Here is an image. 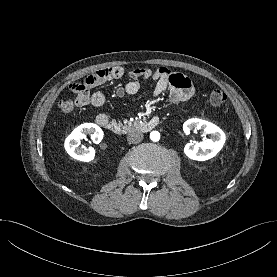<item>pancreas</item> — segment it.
<instances>
[{"mask_svg": "<svg viewBox=\"0 0 277 277\" xmlns=\"http://www.w3.org/2000/svg\"><path fill=\"white\" fill-rule=\"evenodd\" d=\"M143 124H140L138 121H134L133 123L128 122V125H125L124 128L128 130H138L141 129Z\"/></svg>", "mask_w": 277, "mask_h": 277, "instance_id": "cf45deb5", "label": "pancreas"}]
</instances>
